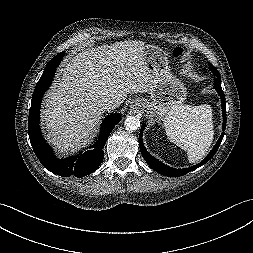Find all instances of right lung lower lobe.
Here are the masks:
<instances>
[{
    "label": "right lung lower lobe",
    "instance_id": "obj_1",
    "mask_svg": "<svg viewBox=\"0 0 253 253\" xmlns=\"http://www.w3.org/2000/svg\"><path fill=\"white\" fill-rule=\"evenodd\" d=\"M65 52H61L53 57L47 64L41 78L36 84L33 92L31 108L28 118V134L33 150L42 165L49 171L63 177L75 175L80 178L94 172L104 158V151L106 140L111 131L121 120L119 114H112L104 119L101 125L100 136L97 142L91 146L92 150L85 153L66 159H58L45 142L41 135L39 126V113L43 94L50 86L55 70Z\"/></svg>",
    "mask_w": 253,
    "mask_h": 253
}]
</instances>
